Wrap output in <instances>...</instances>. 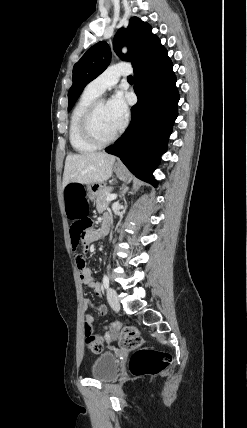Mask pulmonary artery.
Here are the masks:
<instances>
[{
  "mask_svg": "<svg viewBox=\"0 0 247 428\" xmlns=\"http://www.w3.org/2000/svg\"><path fill=\"white\" fill-rule=\"evenodd\" d=\"M131 72L132 69L127 63H119L110 66L102 74L92 80L87 85V88L97 95H101L107 89L114 86L121 76H128Z\"/></svg>",
  "mask_w": 247,
  "mask_h": 428,
  "instance_id": "obj_1",
  "label": "pulmonary artery"
}]
</instances>
